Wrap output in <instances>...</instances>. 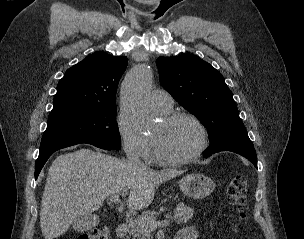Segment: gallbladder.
Here are the masks:
<instances>
[{"instance_id":"1","label":"gallbladder","mask_w":304,"mask_h":239,"mask_svg":"<svg viewBox=\"0 0 304 239\" xmlns=\"http://www.w3.org/2000/svg\"><path fill=\"white\" fill-rule=\"evenodd\" d=\"M96 218L93 214H88L76 218L72 223V228L77 232L88 231L96 226Z\"/></svg>"}]
</instances>
